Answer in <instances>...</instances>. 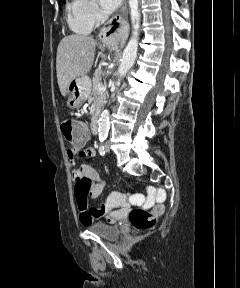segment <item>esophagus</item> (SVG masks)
<instances>
[{"mask_svg":"<svg viewBox=\"0 0 240 288\" xmlns=\"http://www.w3.org/2000/svg\"><path fill=\"white\" fill-rule=\"evenodd\" d=\"M128 9L125 1L119 11L101 29L99 37L108 46H123L128 37Z\"/></svg>","mask_w":240,"mask_h":288,"instance_id":"obj_1","label":"esophagus"}]
</instances>
